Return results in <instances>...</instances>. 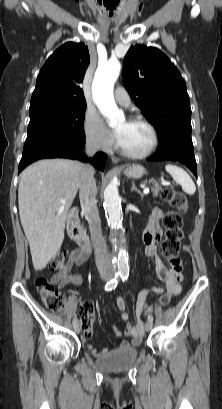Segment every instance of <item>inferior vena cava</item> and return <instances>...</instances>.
<instances>
[{
	"label": "inferior vena cava",
	"mask_w": 222,
	"mask_h": 409,
	"mask_svg": "<svg viewBox=\"0 0 222 409\" xmlns=\"http://www.w3.org/2000/svg\"><path fill=\"white\" fill-rule=\"evenodd\" d=\"M99 141L89 138L86 141V154L92 157L99 149ZM96 182L94 179V168L85 164L79 175V197L82 211L89 224L92 244L96 255V266L100 272L113 268V264L107 253V246L102 237L101 221L96 202Z\"/></svg>",
	"instance_id": "obj_1"
}]
</instances>
